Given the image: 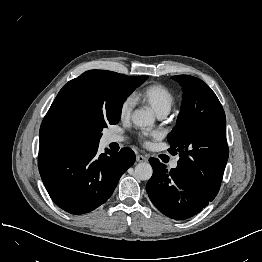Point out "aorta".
I'll return each instance as SVG.
<instances>
[{"instance_id": "aorta-1", "label": "aorta", "mask_w": 262, "mask_h": 262, "mask_svg": "<svg viewBox=\"0 0 262 262\" xmlns=\"http://www.w3.org/2000/svg\"><path fill=\"white\" fill-rule=\"evenodd\" d=\"M152 111L137 109L132 114V121L138 127L151 126L154 123ZM153 170L149 163L141 162L135 166V177L139 180L146 181L152 176Z\"/></svg>"}]
</instances>
